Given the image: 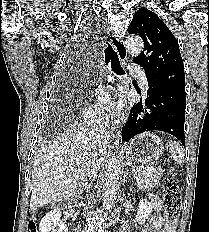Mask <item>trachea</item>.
<instances>
[{"instance_id": "3493384b", "label": "trachea", "mask_w": 209, "mask_h": 232, "mask_svg": "<svg viewBox=\"0 0 209 232\" xmlns=\"http://www.w3.org/2000/svg\"><path fill=\"white\" fill-rule=\"evenodd\" d=\"M104 55H105V62L107 64L109 62L111 63V69L114 73H116L117 75L125 74L123 68L120 65V61L117 53L114 51V49L109 43H107V48L104 50Z\"/></svg>"}]
</instances>
